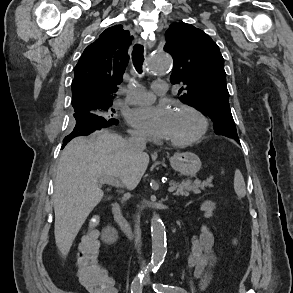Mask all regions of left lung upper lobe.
<instances>
[{"mask_svg": "<svg viewBox=\"0 0 293 293\" xmlns=\"http://www.w3.org/2000/svg\"><path fill=\"white\" fill-rule=\"evenodd\" d=\"M166 41L164 50L174 60L171 83L182 86L179 99L204 111L215 133L238 139L218 45L204 31L183 22L170 25Z\"/></svg>", "mask_w": 293, "mask_h": 293, "instance_id": "obj_1", "label": "left lung upper lobe"}]
</instances>
